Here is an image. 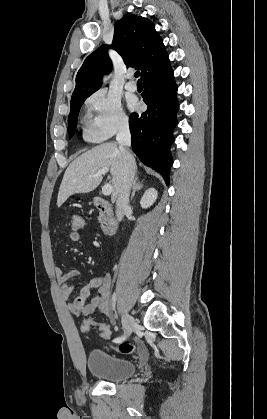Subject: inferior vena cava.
I'll return each instance as SVG.
<instances>
[{
  "mask_svg": "<svg viewBox=\"0 0 267 419\" xmlns=\"http://www.w3.org/2000/svg\"><path fill=\"white\" fill-rule=\"evenodd\" d=\"M116 141L123 158V175L120 181L117 201L116 216L119 221L122 220L124 213L129 208V195L135 176V159L129 152L128 147L131 146V134L127 122H122L119 126Z\"/></svg>",
  "mask_w": 267,
  "mask_h": 419,
  "instance_id": "1",
  "label": "inferior vena cava"
}]
</instances>
